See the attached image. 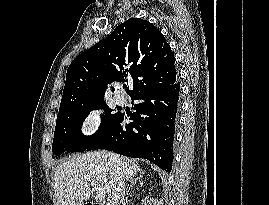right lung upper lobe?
<instances>
[{"label": "right lung upper lobe", "mask_w": 269, "mask_h": 205, "mask_svg": "<svg viewBox=\"0 0 269 205\" xmlns=\"http://www.w3.org/2000/svg\"><path fill=\"white\" fill-rule=\"evenodd\" d=\"M128 78H132L133 86V90L126 89L130 97L177 82L169 44L153 24L140 18L118 25L107 38L73 60L57 118L104 102L107 83L128 82Z\"/></svg>", "instance_id": "obj_1"}]
</instances>
